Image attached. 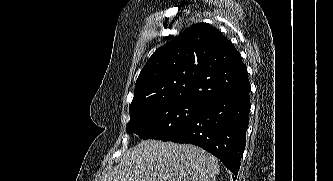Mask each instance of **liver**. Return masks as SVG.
I'll list each match as a JSON object with an SVG mask.
<instances>
[{
    "instance_id": "obj_1",
    "label": "liver",
    "mask_w": 333,
    "mask_h": 181,
    "mask_svg": "<svg viewBox=\"0 0 333 181\" xmlns=\"http://www.w3.org/2000/svg\"><path fill=\"white\" fill-rule=\"evenodd\" d=\"M219 172L217 158L198 146L145 140L102 181H215Z\"/></svg>"
}]
</instances>
